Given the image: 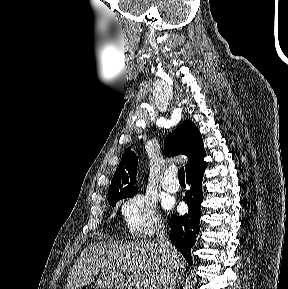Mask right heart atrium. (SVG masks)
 Instances as JSON below:
<instances>
[{"label": "right heart atrium", "mask_w": 288, "mask_h": 289, "mask_svg": "<svg viewBox=\"0 0 288 289\" xmlns=\"http://www.w3.org/2000/svg\"><path fill=\"white\" fill-rule=\"evenodd\" d=\"M122 215L128 230L140 236L154 234L161 225L154 201L142 193L134 194L124 202Z\"/></svg>", "instance_id": "1"}]
</instances>
